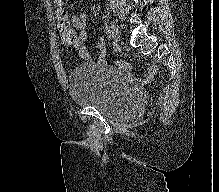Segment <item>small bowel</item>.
<instances>
[{"label":"small bowel","mask_w":219,"mask_h":192,"mask_svg":"<svg viewBox=\"0 0 219 192\" xmlns=\"http://www.w3.org/2000/svg\"><path fill=\"white\" fill-rule=\"evenodd\" d=\"M65 14L66 13L63 9H59L57 11L58 20L65 18L69 24L67 30L59 29L63 44L68 48L77 50L80 58L83 61H90L91 57L84 45V41L87 37V32H86L87 14L83 12L78 15L72 16L70 19H68L67 15ZM96 47L98 50V56L96 61L99 64H103L104 62H106V45L102 37H99L97 39ZM125 67L127 68L128 66L125 65ZM156 74H157V67L155 65H150L144 80L146 82H150L154 79Z\"/></svg>","instance_id":"c3829d8e"}]
</instances>
